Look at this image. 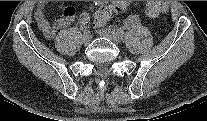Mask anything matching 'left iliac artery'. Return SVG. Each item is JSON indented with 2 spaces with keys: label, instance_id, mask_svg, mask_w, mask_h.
I'll use <instances>...</instances> for the list:
<instances>
[{
  "label": "left iliac artery",
  "instance_id": "left-iliac-artery-1",
  "mask_svg": "<svg viewBox=\"0 0 207 121\" xmlns=\"http://www.w3.org/2000/svg\"><path fill=\"white\" fill-rule=\"evenodd\" d=\"M140 16L139 15H137V14H134V15H130V16H127V17H125L124 18V23L125 24H133V23H137V22H139L140 21ZM123 33V32H122Z\"/></svg>",
  "mask_w": 207,
  "mask_h": 121
}]
</instances>
